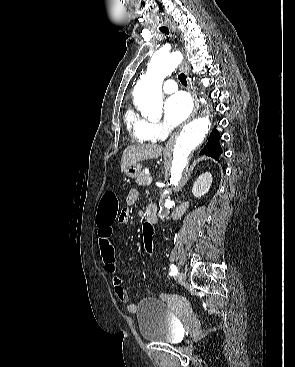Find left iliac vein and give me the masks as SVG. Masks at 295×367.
Segmentation results:
<instances>
[{
	"instance_id": "1",
	"label": "left iliac vein",
	"mask_w": 295,
	"mask_h": 367,
	"mask_svg": "<svg viewBox=\"0 0 295 367\" xmlns=\"http://www.w3.org/2000/svg\"><path fill=\"white\" fill-rule=\"evenodd\" d=\"M177 280L179 282H184L186 280V275L183 272H178L177 274Z\"/></svg>"
}]
</instances>
